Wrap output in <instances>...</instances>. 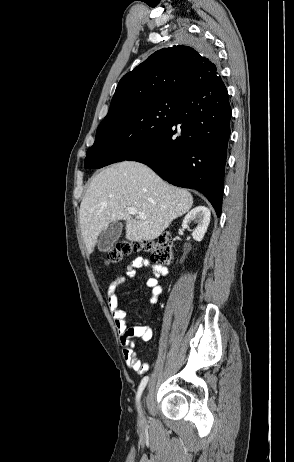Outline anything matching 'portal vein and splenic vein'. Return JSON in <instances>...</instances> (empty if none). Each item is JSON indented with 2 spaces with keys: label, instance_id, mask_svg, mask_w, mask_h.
<instances>
[{
  "label": "portal vein and splenic vein",
  "instance_id": "1",
  "mask_svg": "<svg viewBox=\"0 0 294 462\" xmlns=\"http://www.w3.org/2000/svg\"><path fill=\"white\" fill-rule=\"evenodd\" d=\"M127 211H128L129 214H131L133 216H136L138 218H141V219L146 218V215L143 212H140L135 208H128Z\"/></svg>",
  "mask_w": 294,
  "mask_h": 462
}]
</instances>
